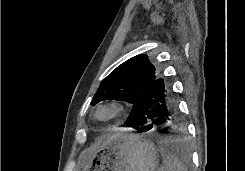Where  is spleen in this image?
<instances>
[{"instance_id":"spleen-1","label":"spleen","mask_w":245,"mask_h":171,"mask_svg":"<svg viewBox=\"0 0 245 171\" xmlns=\"http://www.w3.org/2000/svg\"><path fill=\"white\" fill-rule=\"evenodd\" d=\"M161 155L163 162L158 171H187V168L180 160L169 151L162 148Z\"/></svg>"}]
</instances>
